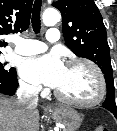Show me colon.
<instances>
[{
  "label": "colon",
  "mask_w": 117,
  "mask_h": 131,
  "mask_svg": "<svg viewBox=\"0 0 117 131\" xmlns=\"http://www.w3.org/2000/svg\"><path fill=\"white\" fill-rule=\"evenodd\" d=\"M93 131H108V129L104 125H98Z\"/></svg>",
  "instance_id": "5ec220e1"
}]
</instances>
